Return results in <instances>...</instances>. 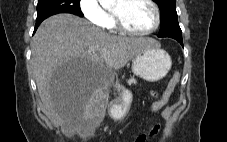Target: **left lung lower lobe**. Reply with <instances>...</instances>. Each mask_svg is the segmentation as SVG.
Here are the masks:
<instances>
[{
  "label": "left lung lower lobe",
  "mask_w": 227,
  "mask_h": 142,
  "mask_svg": "<svg viewBox=\"0 0 227 142\" xmlns=\"http://www.w3.org/2000/svg\"><path fill=\"white\" fill-rule=\"evenodd\" d=\"M171 38H173V37H171ZM174 39H176V40L183 46V41H182V39H179V38H174Z\"/></svg>",
  "instance_id": "0a47b994"
}]
</instances>
